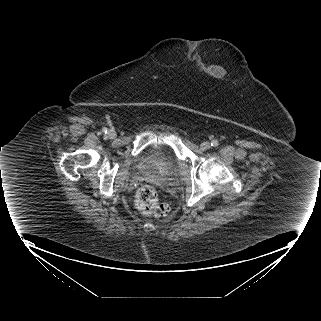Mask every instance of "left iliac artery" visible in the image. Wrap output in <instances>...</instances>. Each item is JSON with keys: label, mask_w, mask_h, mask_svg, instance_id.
<instances>
[{"label": "left iliac artery", "mask_w": 321, "mask_h": 321, "mask_svg": "<svg viewBox=\"0 0 321 321\" xmlns=\"http://www.w3.org/2000/svg\"><path fill=\"white\" fill-rule=\"evenodd\" d=\"M218 145H219V143H218L217 140H213V141L211 142V146H213V147H217Z\"/></svg>", "instance_id": "left-iliac-artery-1"}]
</instances>
